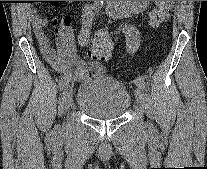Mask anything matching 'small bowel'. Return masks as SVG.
I'll return each mask as SVG.
<instances>
[{
  "instance_id": "obj_1",
  "label": "small bowel",
  "mask_w": 207,
  "mask_h": 169,
  "mask_svg": "<svg viewBox=\"0 0 207 169\" xmlns=\"http://www.w3.org/2000/svg\"><path fill=\"white\" fill-rule=\"evenodd\" d=\"M148 2L112 1L108 7V13L112 18L127 16L142 10ZM29 17L33 25L40 52L45 61L56 71L67 75L70 79H85L103 70V66L99 62L82 61L79 58L73 39L71 16L64 15L53 19L56 35L55 47L51 45L50 39L45 32V27L48 23L47 19L40 16L36 10H31Z\"/></svg>"
}]
</instances>
